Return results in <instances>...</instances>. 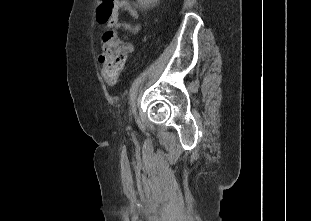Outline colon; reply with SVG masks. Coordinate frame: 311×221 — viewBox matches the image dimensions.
Listing matches in <instances>:
<instances>
[{
    "instance_id": "obj_1",
    "label": "colon",
    "mask_w": 311,
    "mask_h": 221,
    "mask_svg": "<svg viewBox=\"0 0 311 221\" xmlns=\"http://www.w3.org/2000/svg\"><path fill=\"white\" fill-rule=\"evenodd\" d=\"M119 0H102L98 1L97 26H106V17H112L115 11V4ZM99 56L102 61V75L105 82L114 85L124 68L127 49L117 41V35L113 31H108L102 38V44L99 48Z\"/></svg>"
}]
</instances>
